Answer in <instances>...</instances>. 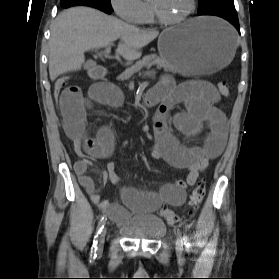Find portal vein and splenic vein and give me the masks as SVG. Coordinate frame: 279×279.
Here are the masks:
<instances>
[{"mask_svg":"<svg viewBox=\"0 0 279 279\" xmlns=\"http://www.w3.org/2000/svg\"><path fill=\"white\" fill-rule=\"evenodd\" d=\"M110 50H111V46H110V44H108V45L105 46V50L101 53L106 56V55L109 54ZM138 69L139 68H137L136 70H138Z\"/></svg>","mask_w":279,"mask_h":279,"instance_id":"obj_1","label":"portal vein and splenic vein"}]
</instances>
